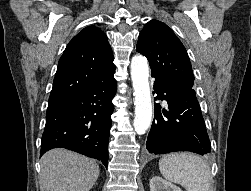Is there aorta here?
<instances>
[{
  "label": "aorta",
  "mask_w": 251,
  "mask_h": 191,
  "mask_svg": "<svg viewBox=\"0 0 251 191\" xmlns=\"http://www.w3.org/2000/svg\"><path fill=\"white\" fill-rule=\"evenodd\" d=\"M131 78L134 90L135 117L134 127L136 133H145L152 119V103L149 88V68L144 56H134L131 62Z\"/></svg>",
  "instance_id": "aorta-1"
}]
</instances>
